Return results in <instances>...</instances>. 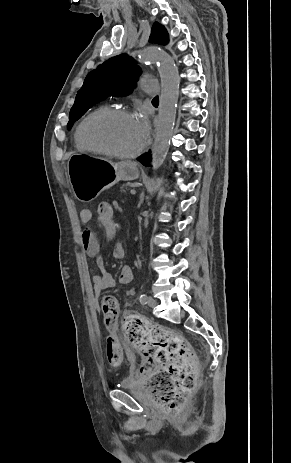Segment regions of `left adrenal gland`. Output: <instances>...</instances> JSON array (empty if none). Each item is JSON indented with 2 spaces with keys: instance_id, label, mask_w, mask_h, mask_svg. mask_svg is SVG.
<instances>
[{
  "instance_id": "a2214340",
  "label": "left adrenal gland",
  "mask_w": 291,
  "mask_h": 463,
  "mask_svg": "<svg viewBox=\"0 0 291 463\" xmlns=\"http://www.w3.org/2000/svg\"><path fill=\"white\" fill-rule=\"evenodd\" d=\"M143 200H144V193L140 195V204L143 203Z\"/></svg>"
}]
</instances>
